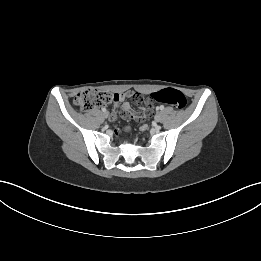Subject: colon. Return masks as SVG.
Returning <instances> with one entry per match:
<instances>
[{
	"label": "colon",
	"instance_id": "5ec220e1",
	"mask_svg": "<svg viewBox=\"0 0 261 261\" xmlns=\"http://www.w3.org/2000/svg\"><path fill=\"white\" fill-rule=\"evenodd\" d=\"M155 102L166 103L177 109L186 106V98L182 92L173 88L163 89L151 95ZM74 103L82 111H89L95 107L107 104H119L122 106L119 94H112L97 89H86L77 94Z\"/></svg>",
	"mask_w": 261,
	"mask_h": 261
}]
</instances>
